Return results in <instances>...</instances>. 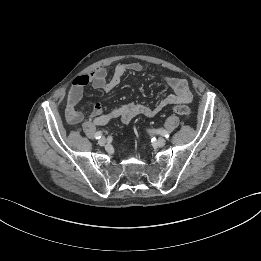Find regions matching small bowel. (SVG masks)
Wrapping results in <instances>:
<instances>
[{
  "mask_svg": "<svg viewBox=\"0 0 261 261\" xmlns=\"http://www.w3.org/2000/svg\"><path fill=\"white\" fill-rule=\"evenodd\" d=\"M142 70L141 64L130 62L117 65L109 79H107V70L103 67L97 68L89 74L77 76L68 93L66 112L68 121L76 124L82 120L83 116L76 105L82 99L84 88L87 85L108 93L120 84L122 77L127 72H141ZM163 79L173 93L164 97L155 106L129 102L105 113L101 104L94 102L92 105V122L95 125H105L111 119L119 118L122 123L127 124L139 115L151 118L168 105L188 104L192 101L193 95L185 79L172 76H165Z\"/></svg>",
  "mask_w": 261,
  "mask_h": 261,
  "instance_id": "small-bowel-1",
  "label": "small bowel"
}]
</instances>
